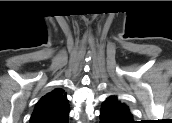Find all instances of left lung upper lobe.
Returning a JSON list of instances; mask_svg holds the SVG:
<instances>
[{
  "label": "left lung upper lobe",
  "instance_id": "5c2ea615",
  "mask_svg": "<svg viewBox=\"0 0 172 123\" xmlns=\"http://www.w3.org/2000/svg\"><path fill=\"white\" fill-rule=\"evenodd\" d=\"M132 117L128 107L117 97H109L101 108L100 120L104 123H132Z\"/></svg>",
  "mask_w": 172,
  "mask_h": 123
}]
</instances>
